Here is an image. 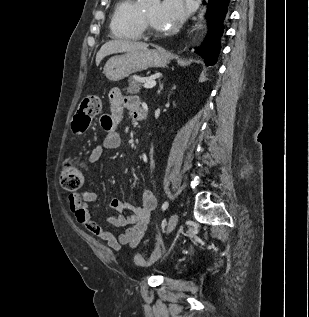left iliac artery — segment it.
<instances>
[{"mask_svg":"<svg viewBox=\"0 0 309 317\" xmlns=\"http://www.w3.org/2000/svg\"><path fill=\"white\" fill-rule=\"evenodd\" d=\"M168 202L167 201H165L164 203H163V205H162V210L164 211V210H166L167 208H168Z\"/></svg>","mask_w":309,"mask_h":317,"instance_id":"left-iliac-artery-1","label":"left iliac artery"}]
</instances>
